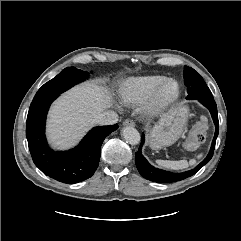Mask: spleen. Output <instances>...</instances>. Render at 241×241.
Listing matches in <instances>:
<instances>
[{
	"mask_svg": "<svg viewBox=\"0 0 241 241\" xmlns=\"http://www.w3.org/2000/svg\"><path fill=\"white\" fill-rule=\"evenodd\" d=\"M202 157V155H198L197 158ZM156 163L164 168L172 169V170H180L185 169L189 165H194L196 163V159L187 160H179V161H170V160H157Z\"/></svg>",
	"mask_w": 241,
	"mask_h": 241,
	"instance_id": "obj_1",
	"label": "spleen"
}]
</instances>
